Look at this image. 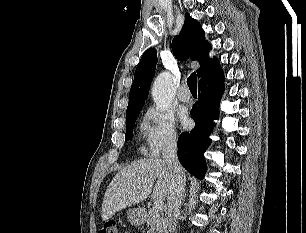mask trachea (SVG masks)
I'll return each mask as SVG.
<instances>
[{"instance_id":"3493384b","label":"trachea","mask_w":306,"mask_h":233,"mask_svg":"<svg viewBox=\"0 0 306 233\" xmlns=\"http://www.w3.org/2000/svg\"><path fill=\"white\" fill-rule=\"evenodd\" d=\"M187 85L191 92H197V76L195 72L188 77Z\"/></svg>"}]
</instances>
